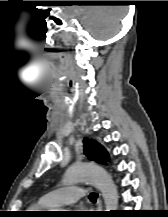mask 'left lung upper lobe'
Returning a JSON list of instances; mask_svg holds the SVG:
<instances>
[{
	"instance_id": "5c2ea615",
	"label": "left lung upper lobe",
	"mask_w": 168,
	"mask_h": 217,
	"mask_svg": "<svg viewBox=\"0 0 168 217\" xmlns=\"http://www.w3.org/2000/svg\"><path fill=\"white\" fill-rule=\"evenodd\" d=\"M84 154L88 159L96 161L98 163L106 164L109 159V155L106 149L97 141L84 138Z\"/></svg>"
}]
</instances>
